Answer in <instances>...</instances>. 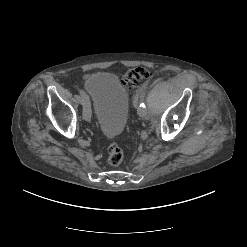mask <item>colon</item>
<instances>
[{"instance_id":"1","label":"colon","mask_w":247,"mask_h":247,"mask_svg":"<svg viewBox=\"0 0 247 247\" xmlns=\"http://www.w3.org/2000/svg\"><path fill=\"white\" fill-rule=\"evenodd\" d=\"M150 76L149 71L144 67H137L127 70L122 75V82L127 87L133 88L148 79ZM123 160V150L116 142H111L108 146L107 161L112 166L119 165Z\"/></svg>"}]
</instances>
